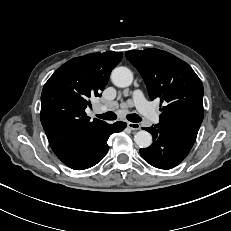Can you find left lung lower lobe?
I'll return each instance as SVG.
<instances>
[{
    "instance_id": "left-lung-lower-lobe-1",
    "label": "left lung lower lobe",
    "mask_w": 231,
    "mask_h": 231,
    "mask_svg": "<svg viewBox=\"0 0 231 231\" xmlns=\"http://www.w3.org/2000/svg\"><path fill=\"white\" fill-rule=\"evenodd\" d=\"M144 129L152 134L153 143L148 148L140 149V154L150 165L159 169H171L180 164L194 144L161 124Z\"/></svg>"
}]
</instances>
